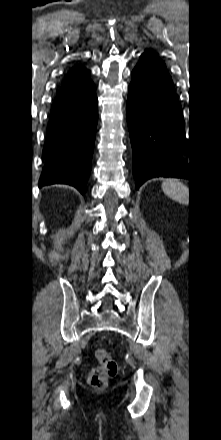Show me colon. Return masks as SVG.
<instances>
[{"label":"colon","instance_id":"colon-1","mask_svg":"<svg viewBox=\"0 0 221 440\" xmlns=\"http://www.w3.org/2000/svg\"><path fill=\"white\" fill-rule=\"evenodd\" d=\"M95 358L98 365L89 374L88 382L96 389H103L107 386L108 380L118 372V364L104 348L95 350Z\"/></svg>","mask_w":221,"mask_h":440}]
</instances>
